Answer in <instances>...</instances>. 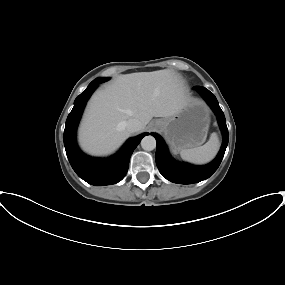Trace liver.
Segmentation results:
<instances>
[{
    "label": "liver",
    "mask_w": 285,
    "mask_h": 285,
    "mask_svg": "<svg viewBox=\"0 0 285 285\" xmlns=\"http://www.w3.org/2000/svg\"><path fill=\"white\" fill-rule=\"evenodd\" d=\"M189 102L182 79L172 70L120 75L91 97L79 129L80 145L92 155L110 154L130 136L129 119H138L144 130L153 117L173 116Z\"/></svg>",
    "instance_id": "6515ba94"
}]
</instances>
